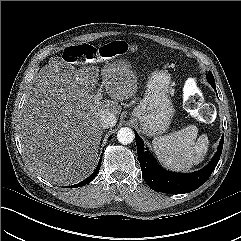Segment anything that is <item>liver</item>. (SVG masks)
<instances>
[{"label":"liver","mask_w":241,"mask_h":241,"mask_svg":"<svg viewBox=\"0 0 241 241\" xmlns=\"http://www.w3.org/2000/svg\"><path fill=\"white\" fill-rule=\"evenodd\" d=\"M111 100L96 98L99 70L75 69L63 60L41 68L26 95L19 123L28 165L54 184L80 182L95 168L102 138L100 116L121 113L118 102L137 92V77L124 61L101 70Z\"/></svg>","instance_id":"1"}]
</instances>
